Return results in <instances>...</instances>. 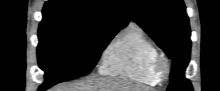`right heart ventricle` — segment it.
Wrapping results in <instances>:
<instances>
[{
    "instance_id": "1",
    "label": "right heart ventricle",
    "mask_w": 220,
    "mask_h": 91,
    "mask_svg": "<svg viewBox=\"0 0 220 91\" xmlns=\"http://www.w3.org/2000/svg\"><path fill=\"white\" fill-rule=\"evenodd\" d=\"M159 50L145 30L132 23L104 51L99 71L103 75L120 77L144 85L159 83L155 62Z\"/></svg>"
}]
</instances>
